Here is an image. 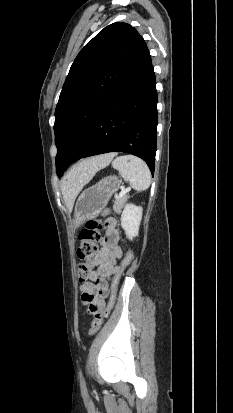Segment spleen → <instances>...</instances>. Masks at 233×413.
Segmentation results:
<instances>
[{"label":"spleen","instance_id":"1","mask_svg":"<svg viewBox=\"0 0 233 413\" xmlns=\"http://www.w3.org/2000/svg\"><path fill=\"white\" fill-rule=\"evenodd\" d=\"M112 166L134 190L141 192L149 188L151 173L147 164L140 158L132 155L119 156L113 160Z\"/></svg>","mask_w":233,"mask_h":413}]
</instances>
